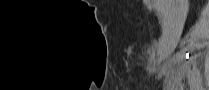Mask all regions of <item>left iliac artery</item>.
Wrapping results in <instances>:
<instances>
[{
	"mask_svg": "<svg viewBox=\"0 0 209 90\" xmlns=\"http://www.w3.org/2000/svg\"><path fill=\"white\" fill-rule=\"evenodd\" d=\"M193 74L196 79L197 86H200L202 83V79L200 76V71L198 70V68L196 66L193 67Z\"/></svg>",
	"mask_w": 209,
	"mask_h": 90,
	"instance_id": "left-iliac-artery-1",
	"label": "left iliac artery"
}]
</instances>
